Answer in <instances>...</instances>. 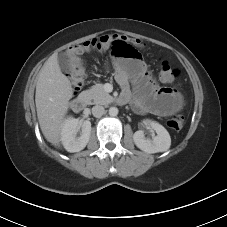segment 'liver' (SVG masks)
Returning a JSON list of instances; mask_svg holds the SVG:
<instances>
[{"instance_id":"obj_1","label":"liver","mask_w":227,"mask_h":227,"mask_svg":"<svg viewBox=\"0 0 227 227\" xmlns=\"http://www.w3.org/2000/svg\"><path fill=\"white\" fill-rule=\"evenodd\" d=\"M73 97L68 78L52 55L41 68L36 84V110L40 129L48 142L59 147L61 128Z\"/></svg>"}]
</instances>
